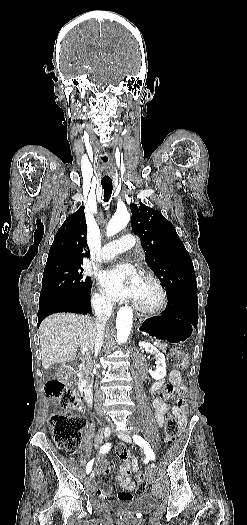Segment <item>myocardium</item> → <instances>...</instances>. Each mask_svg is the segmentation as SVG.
<instances>
[{
  "instance_id": "obj_1",
  "label": "myocardium",
  "mask_w": 247,
  "mask_h": 525,
  "mask_svg": "<svg viewBox=\"0 0 247 525\" xmlns=\"http://www.w3.org/2000/svg\"><path fill=\"white\" fill-rule=\"evenodd\" d=\"M141 276L150 279L154 283V285L157 287V289L160 292V299L156 303H149V304L143 303L136 299L135 305L139 307L145 313H155L161 310L163 306L165 305L167 301L166 291L163 285L161 284V281L158 279V277L154 273L149 272V271H142Z\"/></svg>"
}]
</instances>
